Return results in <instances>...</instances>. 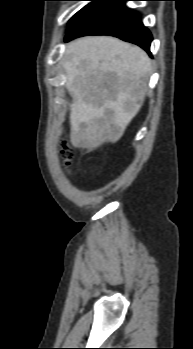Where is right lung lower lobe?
I'll use <instances>...</instances> for the list:
<instances>
[{
  "label": "right lung lower lobe",
  "mask_w": 193,
  "mask_h": 349,
  "mask_svg": "<svg viewBox=\"0 0 193 349\" xmlns=\"http://www.w3.org/2000/svg\"><path fill=\"white\" fill-rule=\"evenodd\" d=\"M125 1L129 0H105L71 28L65 41L85 35H111L137 44L151 55V33Z\"/></svg>",
  "instance_id": "obj_1"
}]
</instances>
